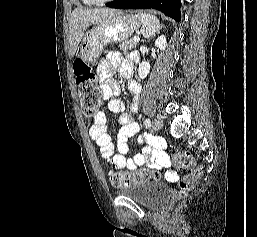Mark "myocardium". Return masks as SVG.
Instances as JSON below:
<instances>
[{
    "mask_svg": "<svg viewBox=\"0 0 257 237\" xmlns=\"http://www.w3.org/2000/svg\"><path fill=\"white\" fill-rule=\"evenodd\" d=\"M92 1L97 4H104V3H108V2H111L114 0H92Z\"/></svg>",
    "mask_w": 257,
    "mask_h": 237,
    "instance_id": "f54148a6",
    "label": "myocardium"
}]
</instances>
